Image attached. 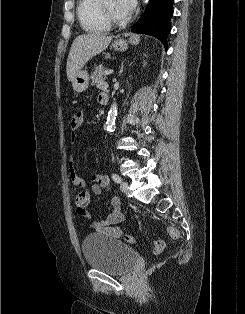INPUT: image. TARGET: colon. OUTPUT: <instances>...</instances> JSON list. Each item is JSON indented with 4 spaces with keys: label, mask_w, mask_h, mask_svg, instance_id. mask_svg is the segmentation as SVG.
Returning <instances> with one entry per match:
<instances>
[{
    "label": "colon",
    "mask_w": 245,
    "mask_h": 314,
    "mask_svg": "<svg viewBox=\"0 0 245 314\" xmlns=\"http://www.w3.org/2000/svg\"><path fill=\"white\" fill-rule=\"evenodd\" d=\"M75 205L77 206L78 213H84L87 211V206L90 201V194L88 191H81L75 196ZM167 231L169 235L173 239H178L180 237V234L178 230L175 227L169 226L167 227ZM124 240L128 243H134L135 240L132 236L130 235H125ZM165 248V243L164 241L157 239L153 242V250L155 253L161 252Z\"/></svg>",
    "instance_id": "5ec220e1"
}]
</instances>
